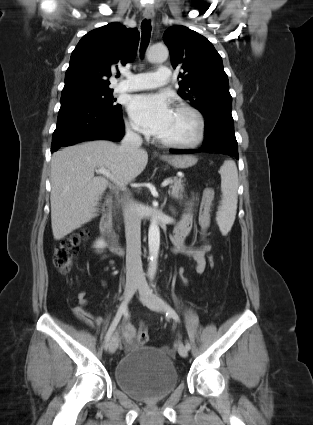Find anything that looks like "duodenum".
Segmentation results:
<instances>
[{"label": "duodenum", "instance_id": "obj_1", "mask_svg": "<svg viewBox=\"0 0 313 425\" xmlns=\"http://www.w3.org/2000/svg\"><path fill=\"white\" fill-rule=\"evenodd\" d=\"M112 203L113 197L108 196L106 206L101 217L100 228L111 250L116 253H120L122 252V247L112 225Z\"/></svg>", "mask_w": 313, "mask_h": 425}]
</instances>
